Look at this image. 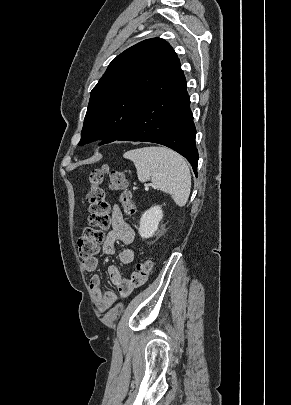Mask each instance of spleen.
<instances>
[{
  "label": "spleen",
  "instance_id": "spleen-1",
  "mask_svg": "<svg viewBox=\"0 0 291 405\" xmlns=\"http://www.w3.org/2000/svg\"><path fill=\"white\" fill-rule=\"evenodd\" d=\"M124 158L134 162L140 182L151 180L155 188L170 194L180 207L187 203L191 174L179 154L165 147L152 146L127 151Z\"/></svg>",
  "mask_w": 291,
  "mask_h": 405
}]
</instances>
